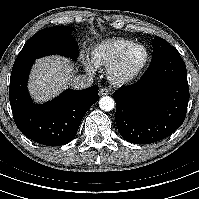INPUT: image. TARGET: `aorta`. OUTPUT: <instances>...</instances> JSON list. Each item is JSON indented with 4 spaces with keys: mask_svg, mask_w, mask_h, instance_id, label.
<instances>
[{
    "mask_svg": "<svg viewBox=\"0 0 199 199\" xmlns=\"http://www.w3.org/2000/svg\"><path fill=\"white\" fill-rule=\"evenodd\" d=\"M99 106L103 111H111L115 106V101L110 96H104L100 99Z\"/></svg>",
    "mask_w": 199,
    "mask_h": 199,
    "instance_id": "1",
    "label": "aorta"
}]
</instances>
